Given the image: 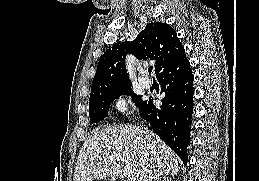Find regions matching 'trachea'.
<instances>
[{
  "label": "trachea",
  "mask_w": 259,
  "mask_h": 181,
  "mask_svg": "<svg viewBox=\"0 0 259 181\" xmlns=\"http://www.w3.org/2000/svg\"><path fill=\"white\" fill-rule=\"evenodd\" d=\"M152 70H153V67H152V66L148 68V72H149V73H151Z\"/></svg>",
  "instance_id": "trachea-1"
}]
</instances>
